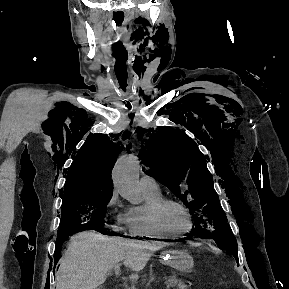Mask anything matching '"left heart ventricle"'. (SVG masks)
Returning a JSON list of instances; mask_svg holds the SVG:
<instances>
[{"label":"left heart ventricle","instance_id":"obj_1","mask_svg":"<svg viewBox=\"0 0 289 289\" xmlns=\"http://www.w3.org/2000/svg\"><path fill=\"white\" fill-rule=\"evenodd\" d=\"M159 217L162 226L170 232H181L188 225V218L185 212L173 204L163 207Z\"/></svg>","mask_w":289,"mask_h":289}]
</instances>
